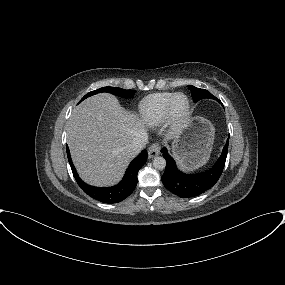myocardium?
<instances>
[{
  "label": "myocardium",
  "mask_w": 285,
  "mask_h": 285,
  "mask_svg": "<svg viewBox=\"0 0 285 285\" xmlns=\"http://www.w3.org/2000/svg\"><path fill=\"white\" fill-rule=\"evenodd\" d=\"M181 96L186 98L187 106L184 111L178 112L176 109V101ZM191 111L192 106L190 98L184 93H176L169 102L166 118L167 125L173 130L181 128L189 119Z\"/></svg>",
  "instance_id": "f54148a6"
}]
</instances>
